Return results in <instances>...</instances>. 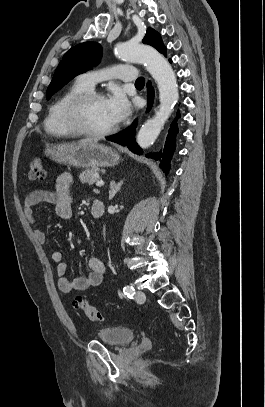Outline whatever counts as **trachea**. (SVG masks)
Masks as SVG:
<instances>
[{
  "mask_svg": "<svg viewBox=\"0 0 265 407\" xmlns=\"http://www.w3.org/2000/svg\"><path fill=\"white\" fill-rule=\"evenodd\" d=\"M145 80L143 77H140L136 80L135 85H144Z\"/></svg>",
  "mask_w": 265,
  "mask_h": 407,
  "instance_id": "3493384b",
  "label": "trachea"
}]
</instances>
